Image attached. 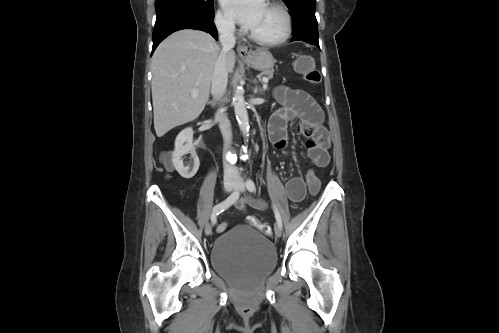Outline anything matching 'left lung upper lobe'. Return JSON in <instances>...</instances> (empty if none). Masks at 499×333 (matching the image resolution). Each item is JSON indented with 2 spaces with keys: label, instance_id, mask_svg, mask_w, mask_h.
Returning <instances> with one entry per match:
<instances>
[{
  "label": "left lung upper lobe",
  "instance_id": "left-lung-upper-lobe-1",
  "mask_svg": "<svg viewBox=\"0 0 499 333\" xmlns=\"http://www.w3.org/2000/svg\"><path fill=\"white\" fill-rule=\"evenodd\" d=\"M289 8L291 15L304 12L315 13L316 0H283Z\"/></svg>",
  "mask_w": 499,
  "mask_h": 333
}]
</instances>
